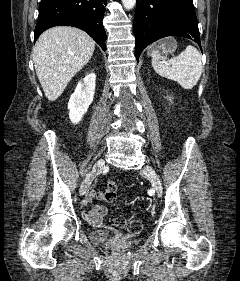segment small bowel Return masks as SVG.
I'll return each instance as SVG.
<instances>
[{
  "label": "small bowel",
  "mask_w": 240,
  "mask_h": 281,
  "mask_svg": "<svg viewBox=\"0 0 240 281\" xmlns=\"http://www.w3.org/2000/svg\"><path fill=\"white\" fill-rule=\"evenodd\" d=\"M103 198V193L96 190H90L86 198L82 201L84 220L94 227L103 225V219L108 212L104 205H91L92 200Z\"/></svg>",
  "instance_id": "1"
}]
</instances>
